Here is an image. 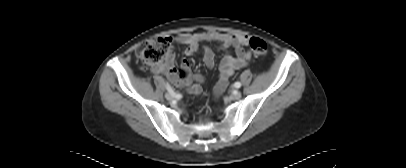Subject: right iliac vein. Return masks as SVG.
Here are the masks:
<instances>
[{
  "instance_id": "right-iliac-vein-1",
  "label": "right iliac vein",
  "mask_w": 406,
  "mask_h": 168,
  "mask_svg": "<svg viewBox=\"0 0 406 168\" xmlns=\"http://www.w3.org/2000/svg\"><path fill=\"white\" fill-rule=\"evenodd\" d=\"M165 98H166L167 100H169V101H172V100H173V96H172L170 93H166V94H165Z\"/></svg>"
}]
</instances>
